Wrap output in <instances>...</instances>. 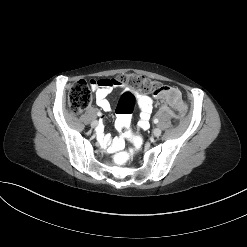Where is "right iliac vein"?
Listing matches in <instances>:
<instances>
[{
	"label": "right iliac vein",
	"instance_id": "right-iliac-vein-1",
	"mask_svg": "<svg viewBox=\"0 0 247 247\" xmlns=\"http://www.w3.org/2000/svg\"><path fill=\"white\" fill-rule=\"evenodd\" d=\"M97 125H98V121L97 120L92 121L91 126L93 128L97 127Z\"/></svg>",
	"mask_w": 247,
	"mask_h": 247
}]
</instances>
